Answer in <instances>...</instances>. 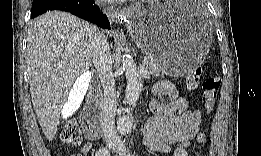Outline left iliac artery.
<instances>
[{"instance_id":"44dca946","label":"left iliac artery","mask_w":261,"mask_h":156,"mask_svg":"<svg viewBox=\"0 0 261 156\" xmlns=\"http://www.w3.org/2000/svg\"><path fill=\"white\" fill-rule=\"evenodd\" d=\"M127 155H128V156H133V155H132V154H130V153H129V154H127Z\"/></svg>"}]
</instances>
